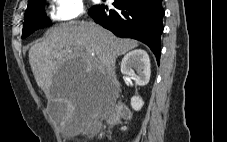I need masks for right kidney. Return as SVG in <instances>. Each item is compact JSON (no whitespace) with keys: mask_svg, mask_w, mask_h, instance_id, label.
<instances>
[{"mask_svg":"<svg viewBox=\"0 0 227 142\" xmlns=\"http://www.w3.org/2000/svg\"><path fill=\"white\" fill-rule=\"evenodd\" d=\"M121 73L134 80L138 86H145L150 80V59L146 51L136 49L124 56L121 62ZM144 102L141 97L133 96L131 106L135 111H139Z\"/></svg>","mask_w":227,"mask_h":142,"instance_id":"1","label":"right kidney"}]
</instances>
